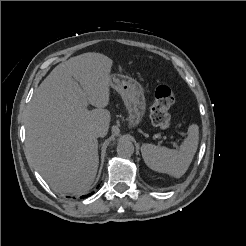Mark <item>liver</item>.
I'll list each match as a JSON object with an SVG mask.
<instances>
[{"label":"liver","mask_w":246,"mask_h":246,"mask_svg":"<svg viewBox=\"0 0 246 246\" xmlns=\"http://www.w3.org/2000/svg\"><path fill=\"white\" fill-rule=\"evenodd\" d=\"M112 65L103 54L84 53L57 65L35 90L25 120L27 155L56 192L83 195L94 182L93 130L108 132Z\"/></svg>","instance_id":"6515ba94"}]
</instances>
